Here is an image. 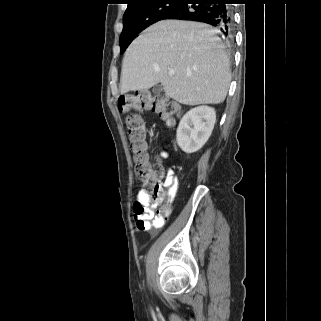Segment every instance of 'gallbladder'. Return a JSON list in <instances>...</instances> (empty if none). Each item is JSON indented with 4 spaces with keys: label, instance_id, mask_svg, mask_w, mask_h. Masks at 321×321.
Returning <instances> with one entry per match:
<instances>
[{
    "label": "gallbladder",
    "instance_id": "bac80fb5",
    "mask_svg": "<svg viewBox=\"0 0 321 321\" xmlns=\"http://www.w3.org/2000/svg\"><path fill=\"white\" fill-rule=\"evenodd\" d=\"M162 85L161 84H156L153 89H152V92L154 94H160L162 92Z\"/></svg>",
    "mask_w": 321,
    "mask_h": 321
}]
</instances>
